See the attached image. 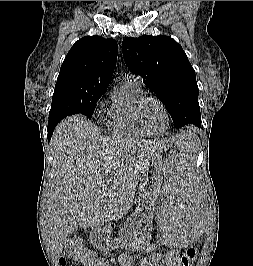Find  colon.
Returning a JSON list of instances; mask_svg holds the SVG:
<instances>
[{
	"instance_id": "1",
	"label": "colon",
	"mask_w": 253,
	"mask_h": 266,
	"mask_svg": "<svg viewBox=\"0 0 253 266\" xmlns=\"http://www.w3.org/2000/svg\"><path fill=\"white\" fill-rule=\"evenodd\" d=\"M197 256L195 249H190L185 253H170L149 257L144 262V266H192ZM60 264L79 266H104L103 261L97 257L95 252L84 246L79 238H71L67 241Z\"/></svg>"
}]
</instances>
